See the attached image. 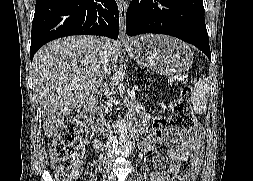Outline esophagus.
Returning a JSON list of instances; mask_svg holds the SVG:
<instances>
[{
    "instance_id": "34e87169",
    "label": "esophagus",
    "mask_w": 253,
    "mask_h": 181,
    "mask_svg": "<svg viewBox=\"0 0 253 181\" xmlns=\"http://www.w3.org/2000/svg\"><path fill=\"white\" fill-rule=\"evenodd\" d=\"M118 9H119V38L122 41H127V37L125 33L127 3L123 0H119Z\"/></svg>"
}]
</instances>
